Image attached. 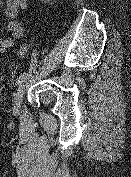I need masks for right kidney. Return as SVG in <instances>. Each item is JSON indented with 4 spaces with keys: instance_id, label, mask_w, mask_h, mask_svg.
Returning <instances> with one entry per match:
<instances>
[{
    "instance_id": "obj_1",
    "label": "right kidney",
    "mask_w": 131,
    "mask_h": 177,
    "mask_svg": "<svg viewBox=\"0 0 131 177\" xmlns=\"http://www.w3.org/2000/svg\"><path fill=\"white\" fill-rule=\"evenodd\" d=\"M46 2H49L50 0H45Z\"/></svg>"
}]
</instances>
